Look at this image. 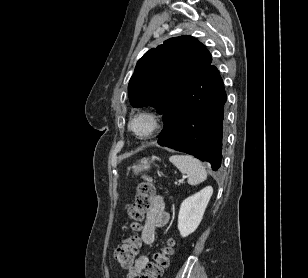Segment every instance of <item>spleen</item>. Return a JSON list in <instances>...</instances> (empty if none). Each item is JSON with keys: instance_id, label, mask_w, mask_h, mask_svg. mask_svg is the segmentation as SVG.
<instances>
[{"instance_id": "obj_1", "label": "spleen", "mask_w": 308, "mask_h": 278, "mask_svg": "<svg viewBox=\"0 0 308 278\" xmlns=\"http://www.w3.org/2000/svg\"><path fill=\"white\" fill-rule=\"evenodd\" d=\"M169 160L181 173L187 175L190 185H197L206 180L207 172L197 158L191 155H173Z\"/></svg>"}]
</instances>
